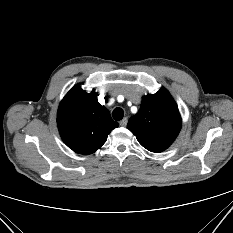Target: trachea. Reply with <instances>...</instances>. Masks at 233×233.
Wrapping results in <instances>:
<instances>
[{"label": "trachea", "mask_w": 233, "mask_h": 233, "mask_svg": "<svg viewBox=\"0 0 233 233\" xmlns=\"http://www.w3.org/2000/svg\"><path fill=\"white\" fill-rule=\"evenodd\" d=\"M112 116L114 118V120L119 121L123 118L124 116V111L122 108H116L113 113Z\"/></svg>", "instance_id": "obj_1"}]
</instances>
